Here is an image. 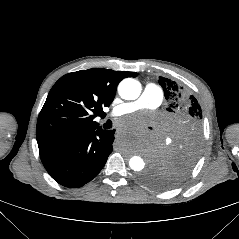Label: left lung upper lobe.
<instances>
[{
  "label": "left lung upper lobe",
  "mask_w": 239,
  "mask_h": 239,
  "mask_svg": "<svg viewBox=\"0 0 239 239\" xmlns=\"http://www.w3.org/2000/svg\"><path fill=\"white\" fill-rule=\"evenodd\" d=\"M159 84L168 101L170 140L142 180L151 187L168 189L179 184L197 161L202 146V111L182 85L161 76Z\"/></svg>",
  "instance_id": "left-lung-upper-lobe-1"
}]
</instances>
